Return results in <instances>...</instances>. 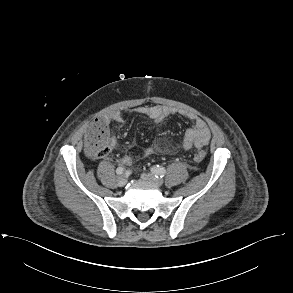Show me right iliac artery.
Masks as SVG:
<instances>
[{
  "label": "right iliac artery",
  "mask_w": 293,
  "mask_h": 293,
  "mask_svg": "<svg viewBox=\"0 0 293 293\" xmlns=\"http://www.w3.org/2000/svg\"><path fill=\"white\" fill-rule=\"evenodd\" d=\"M124 171H125V168L120 166L116 169V174L121 175L124 173Z\"/></svg>",
  "instance_id": "82829eb1"
}]
</instances>
